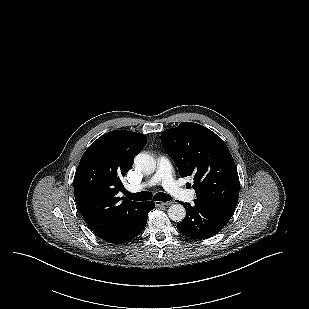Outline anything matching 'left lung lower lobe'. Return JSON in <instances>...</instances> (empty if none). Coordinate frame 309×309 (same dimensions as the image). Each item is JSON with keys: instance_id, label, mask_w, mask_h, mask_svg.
Returning a JSON list of instances; mask_svg holds the SVG:
<instances>
[{"instance_id": "0a47b994", "label": "left lung lower lobe", "mask_w": 309, "mask_h": 309, "mask_svg": "<svg viewBox=\"0 0 309 309\" xmlns=\"http://www.w3.org/2000/svg\"><path fill=\"white\" fill-rule=\"evenodd\" d=\"M187 210L185 219L177 229L193 239H207L217 234L227 224L232 213L204 201L194 200V205L183 203Z\"/></svg>"}]
</instances>
